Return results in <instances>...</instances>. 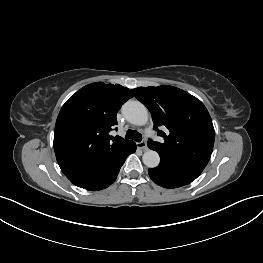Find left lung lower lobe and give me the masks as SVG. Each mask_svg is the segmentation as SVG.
Listing matches in <instances>:
<instances>
[{"label":"left lung lower lobe","instance_id":"1","mask_svg":"<svg viewBox=\"0 0 263 263\" xmlns=\"http://www.w3.org/2000/svg\"><path fill=\"white\" fill-rule=\"evenodd\" d=\"M150 178L159 186L177 188L191 183L201 172L160 161L156 168L148 170Z\"/></svg>","mask_w":263,"mask_h":263}]
</instances>
